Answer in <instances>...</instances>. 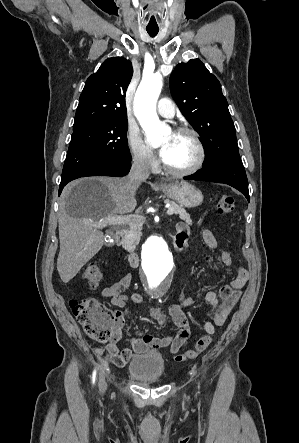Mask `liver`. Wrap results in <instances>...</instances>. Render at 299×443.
Returning a JSON list of instances; mask_svg holds the SVG:
<instances>
[{
  "instance_id": "6515ba94",
  "label": "liver",
  "mask_w": 299,
  "mask_h": 443,
  "mask_svg": "<svg viewBox=\"0 0 299 443\" xmlns=\"http://www.w3.org/2000/svg\"><path fill=\"white\" fill-rule=\"evenodd\" d=\"M126 182L127 178H85L64 188L58 218L57 259V270L64 283L73 279L104 245L102 231L89 222L135 209L137 202L127 193Z\"/></svg>"
}]
</instances>
